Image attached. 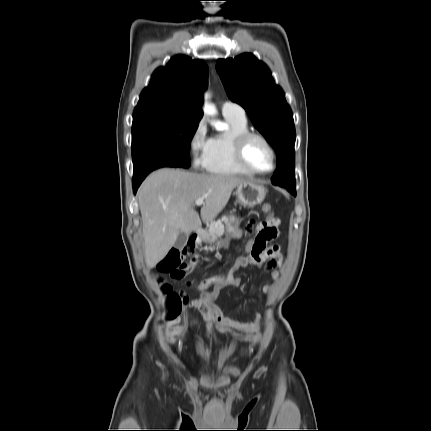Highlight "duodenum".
I'll return each mask as SVG.
<instances>
[{
    "instance_id": "410a0bca",
    "label": "duodenum",
    "mask_w": 431,
    "mask_h": 431,
    "mask_svg": "<svg viewBox=\"0 0 431 431\" xmlns=\"http://www.w3.org/2000/svg\"><path fill=\"white\" fill-rule=\"evenodd\" d=\"M205 238V231L202 228H196L193 231L190 241L192 243L201 242Z\"/></svg>"
}]
</instances>
